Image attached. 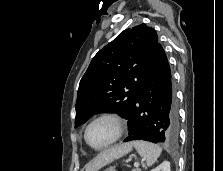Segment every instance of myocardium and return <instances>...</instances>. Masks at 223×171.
I'll return each instance as SVG.
<instances>
[{
	"instance_id": "1",
	"label": "myocardium",
	"mask_w": 223,
	"mask_h": 171,
	"mask_svg": "<svg viewBox=\"0 0 223 171\" xmlns=\"http://www.w3.org/2000/svg\"><path fill=\"white\" fill-rule=\"evenodd\" d=\"M102 119H109V120L113 121L116 125L117 132H116V135L114 136V138L111 141H109L107 144H105L101 147H95L89 142L87 133H88V130L92 124H94L95 122L102 120ZM125 129H126V122L122 116H120L119 114H116V113H112V112H105V113L95 116L88 122V124L86 125V127L84 129V140H85L86 144L89 147H91L92 149L98 150V151L103 150V149H106V148L110 147L111 145L115 144L123 136Z\"/></svg>"
}]
</instances>
